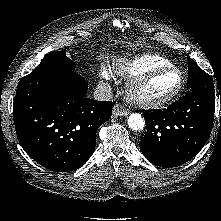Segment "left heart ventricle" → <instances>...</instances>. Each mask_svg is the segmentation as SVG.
<instances>
[{"label": "left heart ventricle", "instance_id": "left-heart-ventricle-1", "mask_svg": "<svg viewBox=\"0 0 221 221\" xmlns=\"http://www.w3.org/2000/svg\"><path fill=\"white\" fill-rule=\"evenodd\" d=\"M179 83V75L176 72L162 73L148 83L140 90L139 94L146 97H160L172 92Z\"/></svg>", "mask_w": 221, "mask_h": 221}]
</instances>
